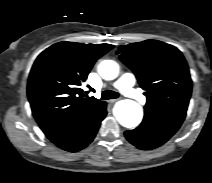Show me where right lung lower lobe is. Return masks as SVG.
Here are the masks:
<instances>
[{"instance_id": "obj_1", "label": "right lung lower lobe", "mask_w": 212, "mask_h": 183, "mask_svg": "<svg viewBox=\"0 0 212 183\" xmlns=\"http://www.w3.org/2000/svg\"><path fill=\"white\" fill-rule=\"evenodd\" d=\"M106 113L105 103L91 117L79 120L58 131L47 133L46 136L55 145L65 151H80L93 141Z\"/></svg>"}]
</instances>
